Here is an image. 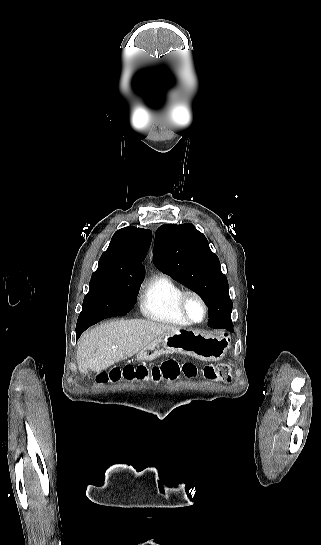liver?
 I'll list each match as a JSON object with an SVG mask.
<instances>
[{"instance_id": "6515ba94", "label": "liver", "mask_w": 321, "mask_h": 545, "mask_svg": "<svg viewBox=\"0 0 321 545\" xmlns=\"http://www.w3.org/2000/svg\"><path fill=\"white\" fill-rule=\"evenodd\" d=\"M175 331H179V327L144 319L103 323L80 337L76 353L78 369L80 373H87L88 369L99 373L119 361L133 357L161 335Z\"/></svg>"}]
</instances>
